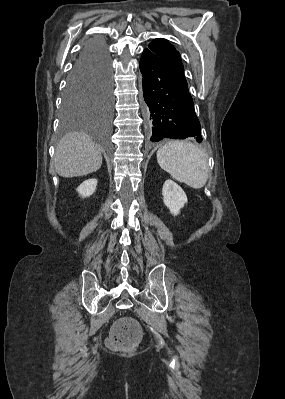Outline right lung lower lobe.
<instances>
[{
    "label": "right lung lower lobe",
    "instance_id": "right-lung-lower-lobe-1",
    "mask_svg": "<svg viewBox=\"0 0 285 399\" xmlns=\"http://www.w3.org/2000/svg\"><path fill=\"white\" fill-rule=\"evenodd\" d=\"M96 61L108 62L110 64L107 46L104 41L99 39L90 40L83 46L74 68Z\"/></svg>",
    "mask_w": 285,
    "mask_h": 399
}]
</instances>
